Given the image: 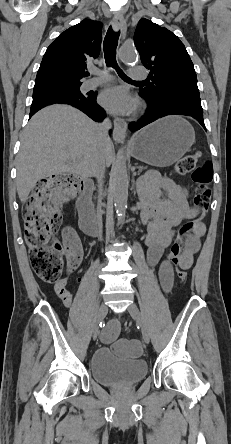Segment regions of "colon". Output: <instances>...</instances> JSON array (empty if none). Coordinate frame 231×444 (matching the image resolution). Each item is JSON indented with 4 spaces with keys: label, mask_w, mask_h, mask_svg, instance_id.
<instances>
[{
    "label": "colon",
    "mask_w": 231,
    "mask_h": 444,
    "mask_svg": "<svg viewBox=\"0 0 231 444\" xmlns=\"http://www.w3.org/2000/svg\"><path fill=\"white\" fill-rule=\"evenodd\" d=\"M199 157V152L186 154L176 162L173 171L179 176H192L195 184L194 205L199 212L204 213L211 197L209 184L212 172L208 164L198 166ZM81 187L82 180L79 177L56 175L40 182L28 200L24 217L25 240L34 272L47 283L61 281L64 271L71 273L81 260L78 252L68 250L56 238L62 221L60 208ZM196 226V220L184 222L170 248V259L176 264V274L181 281L187 278V269L179 264L184 240ZM116 347L128 348L131 353L140 352V344L135 340H120Z\"/></svg>",
    "instance_id": "1"
}]
</instances>
